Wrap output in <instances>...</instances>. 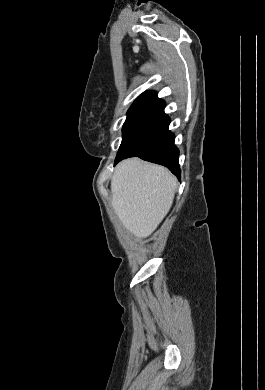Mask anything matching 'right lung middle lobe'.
I'll return each mask as SVG.
<instances>
[{
  "mask_svg": "<svg viewBox=\"0 0 265 390\" xmlns=\"http://www.w3.org/2000/svg\"><path fill=\"white\" fill-rule=\"evenodd\" d=\"M153 101L151 100H135L127 112V119L123 125V135L128 130L132 122L143 112L145 111Z\"/></svg>",
  "mask_w": 265,
  "mask_h": 390,
  "instance_id": "1",
  "label": "right lung middle lobe"
}]
</instances>
